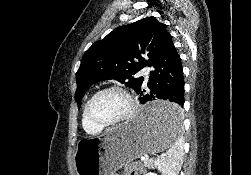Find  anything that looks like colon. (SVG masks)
<instances>
[{
	"instance_id": "obj_1",
	"label": "colon",
	"mask_w": 251,
	"mask_h": 175,
	"mask_svg": "<svg viewBox=\"0 0 251 175\" xmlns=\"http://www.w3.org/2000/svg\"><path fill=\"white\" fill-rule=\"evenodd\" d=\"M145 169L139 161H129L123 167V175H144Z\"/></svg>"
}]
</instances>
